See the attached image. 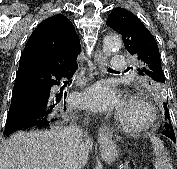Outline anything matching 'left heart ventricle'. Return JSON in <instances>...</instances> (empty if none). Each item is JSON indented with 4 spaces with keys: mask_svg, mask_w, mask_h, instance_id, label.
Segmentation results:
<instances>
[{
    "mask_svg": "<svg viewBox=\"0 0 177 169\" xmlns=\"http://www.w3.org/2000/svg\"><path fill=\"white\" fill-rule=\"evenodd\" d=\"M120 112L125 120L138 121L142 117L141 112L137 108L131 106L124 105Z\"/></svg>",
    "mask_w": 177,
    "mask_h": 169,
    "instance_id": "b2bd125f",
    "label": "left heart ventricle"
}]
</instances>
